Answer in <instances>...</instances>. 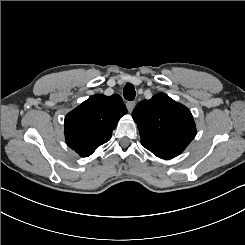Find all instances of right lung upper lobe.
<instances>
[{"instance_id":"obj_1","label":"right lung upper lobe","mask_w":245,"mask_h":245,"mask_svg":"<svg viewBox=\"0 0 245 245\" xmlns=\"http://www.w3.org/2000/svg\"><path fill=\"white\" fill-rule=\"evenodd\" d=\"M127 109L118 94L94 95L65 117L68 146L80 156L88 157L110 140L112 131Z\"/></svg>"}]
</instances>
